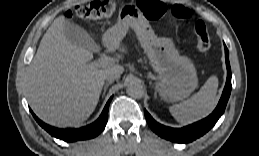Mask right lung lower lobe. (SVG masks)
Masks as SVG:
<instances>
[{
    "mask_svg": "<svg viewBox=\"0 0 259 156\" xmlns=\"http://www.w3.org/2000/svg\"><path fill=\"white\" fill-rule=\"evenodd\" d=\"M112 100V97L108 100L107 104L105 105L100 117L97 121L94 123L87 125L85 127L79 128V129H59L52 126H49L39 120L36 115L31 111L33 117L38 122V124L44 128L48 133H50L52 136L59 138L64 141H78V140H84V139H91L100 134L107 123L108 119V108L109 104Z\"/></svg>",
    "mask_w": 259,
    "mask_h": 156,
    "instance_id": "right-lung-lower-lobe-1",
    "label": "right lung lower lobe"
}]
</instances>
